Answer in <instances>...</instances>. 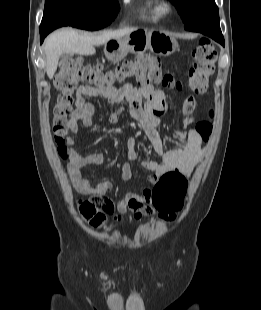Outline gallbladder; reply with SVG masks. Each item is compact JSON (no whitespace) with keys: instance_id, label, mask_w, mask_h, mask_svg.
Here are the masks:
<instances>
[{"instance_id":"bac80fb5","label":"gallbladder","mask_w":261,"mask_h":310,"mask_svg":"<svg viewBox=\"0 0 261 310\" xmlns=\"http://www.w3.org/2000/svg\"><path fill=\"white\" fill-rule=\"evenodd\" d=\"M61 58H62L63 60H71V59H72L71 56H70L69 54H63V55L61 56Z\"/></svg>"}]
</instances>
